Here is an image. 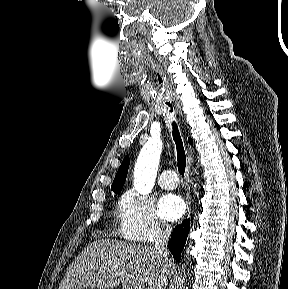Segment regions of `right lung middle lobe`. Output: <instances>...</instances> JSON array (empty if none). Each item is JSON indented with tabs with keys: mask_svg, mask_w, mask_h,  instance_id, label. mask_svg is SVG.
I'll use <instances>...</instances> for the list:
<instances>
[{
	"mask_svg": "<svg viewBox=\"0 0 288 289\" xmlns=\"http://www.w3.org/2000/svg\"><path fill=\"white\" fill-rule=\"evenodd\" d=\"M120 191H115V193H119Z\"/></svg>",
	"mask_w": 288,
	"mask_h": 289,
	"instance_id": "right-lung-middle-lobe-1",
	"label": "right lung middle lobe"
}]
</instances>
